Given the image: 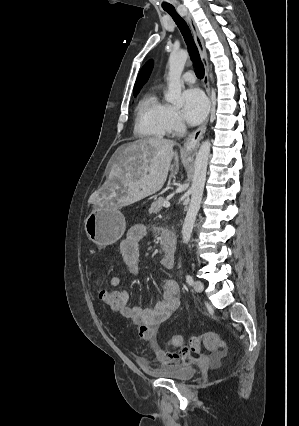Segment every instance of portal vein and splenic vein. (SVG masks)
I'll use <instances>...</instances> for the list:
<instances>
[{
	"instance_id": "portal-vein-and-splenic-vein-1",
	"label": "portal vein and splenic vein",
	"mask_w": 299,
	"mask_h": 426,
	"mask_svg": "<svg viewBox=\"0 0 299 426\" xmlns=\"http://www.w3.org/2000/svg\"><path fill=\"white\" fill-rule=\"evenodd\" d=\"M163 207H164V208H169V207H170V203H169L168 201H165V202L163 203Z\"/></svg>"
}]
</instances>
